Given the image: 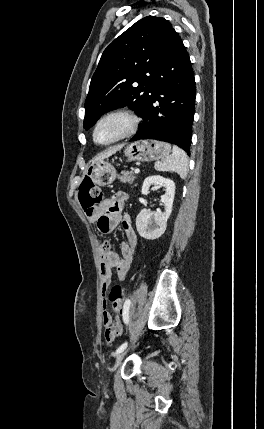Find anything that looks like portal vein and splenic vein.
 Segmentation results:
<instances>
[{"label":"portal vein and splenic vein","mask_w":264,"mask_h":429,"mask_svg":"<svg viewBox=\"0 0 264 429\" xmlns=\"http://www.w3.org/2000/svg\"><path fill=\"white\" fill-rule=\"evenodd\" d=\"M134 172H135V174H139L140 173V169L136 168Z\"/></svg>","instance_id":"1"}]
</instances>
